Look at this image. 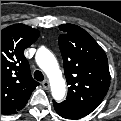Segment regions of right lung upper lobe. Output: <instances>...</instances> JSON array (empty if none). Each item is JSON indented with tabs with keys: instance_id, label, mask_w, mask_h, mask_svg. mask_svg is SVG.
Returning a JSON list of instances; mask_svg holds the SVG:
<instances>
[{
	"instance_id": "cb5924a9",
	"label": "right lung upper lobe",
	"mask_w": 121,
	"mask_h": 121,
	"mask_svg": "<svg viewBox=\"0 0 121 121\" xmlns=\"http://www.w3.org/2000/svg\"><path fill=\"white\" fill-rule=\"evenodd\" d=\"M40 31L14 24L1 31V113L13 114L27 103L39 85L30 75L23 52L34 43Z\"/></svg>"
}]
</instances>
